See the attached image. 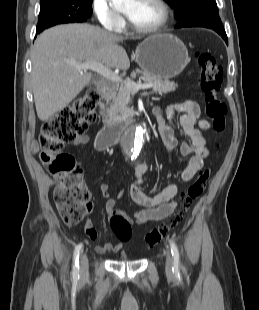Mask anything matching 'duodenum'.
I'll use <instances>...</instances> for the list:
<instances>
[{
    "label": "duodenum",
    "instance_id": "410a0bca",
    "mask_svg": "<svg viewBox=\"0 0 259 310\" xmlns=\"http://www.w3.org/2000/svg\"><path fill=\"white\" fill-rule=\"evenodd\" d=\"M113 84L103 83L99 86V92L101 99H105L109 96ZM136 111L132 110L129 112L126 119L119 122H114L106 125L98 133L96 144L100 148H106L115 144V142L130 129L131 123L136 116Z\"/></svg>",
    "mask_w": 259,
    "mask_h": 310
}]
</instances>
